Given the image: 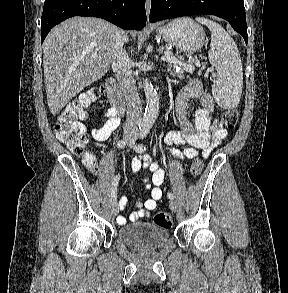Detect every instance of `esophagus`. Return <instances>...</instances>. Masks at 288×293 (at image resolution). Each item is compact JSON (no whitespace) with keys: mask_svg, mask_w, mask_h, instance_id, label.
<instances>
[{"mask_svg":"<svg viewBox=\"0 0 288 293\" xmlns=\"http://www.w3.org/2000/svg\"><path fill=\"white\" fill-rule=\"evenodd\" d=\"M150 9H151V1L146 0V14H147V17L149 16Z\"/></svg>","mask_w":288,"mask_h":293,"instance_id":"34e87169","label":"esophagus"}]
</instances>
